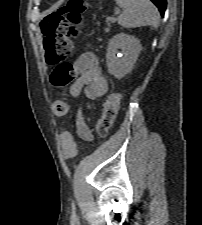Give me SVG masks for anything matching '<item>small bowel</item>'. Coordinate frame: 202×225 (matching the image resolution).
Instances as JSON below:
<instances>
[{"label":"small bowel","instance_id":"c3829d8e","mask_svg":"<svg viewBox=\"0 0 202 225\" xmlns=\"http://www.w3.org/2000/svg\"><path fill=\"white\" fill-rule=\"evenodd\" d=\"M74 69L77 76L70 87L72 96L77 97L84 93L88 98L95 99L106 92L107 84L101 74L99 61L93 53H83L74 63ZM75 130L80 138L84 140L91 139L90 128L81 113L76 117ZM66 134L69 133H61V144L62 137Z\"/></svg>","mask_w":202,"mask_h":225}]
</instances>
